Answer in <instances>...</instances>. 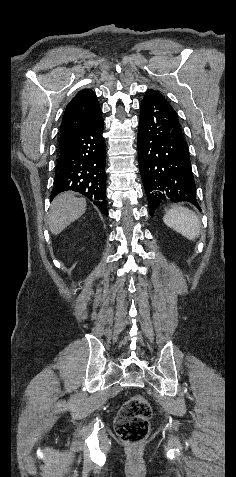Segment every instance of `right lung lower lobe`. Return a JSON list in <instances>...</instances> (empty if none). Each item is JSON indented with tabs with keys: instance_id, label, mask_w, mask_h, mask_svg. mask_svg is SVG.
<instances>
[{
	"instance_id": "98d812e1",
	"label": "right lung lower lobe",
	"mask_w": 236,
	"mask_h": 477,
	"mask_svg": "<svg viewBox=\"0 0 236 477\" xmlns=\"http://www.w3.org/2000/svg\"><path fill=\"white\" fill-rule=\"evenodd\" d=\"M103 128L100 115L78 135L60 144L51 200L61 192L75 191L93 201L107 216Z\"/></svg>"
}]
</instances>
